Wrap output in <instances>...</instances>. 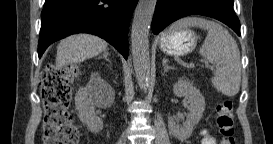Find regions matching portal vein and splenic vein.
Returning <instances> with one entry per match:
<instances>
[{
  "label": "portal vein and splenic vein",
  "instance_id": "obj_1",
  "mask_svg": "<svg viewBox=\"0 0 273 144\" xmlns=\"http://www.w3.org/2000/svg\"><path fill=\"white\" fill-rule=\"evenodd\" d=\"M205 66H206V67H210L209 64H208L207 62H205Z\"/></svg>",
  "mask_w": 273,
  "mask_h": 144
}]
</instances>
